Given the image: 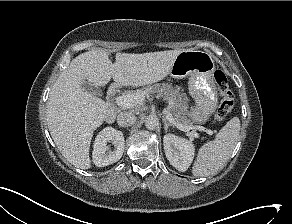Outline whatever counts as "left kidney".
<instances>
[{
  "instance_id": "1",
  "label": "left kidney",
  "mask_w": 292,
  "mask_h": 224,
  "mask_svg": "<svg viewBox=\"0 0 292 224\" xmlns=\"http://www.w3.org/2000/svg\"><path fill=\"white\" fill-rule=\"evenodd\" d=\"M163 143L165 155L171 165L178 171L185 172L194 158L193 143L174 134H166Z\"/></svg>"
}]
</instances>
